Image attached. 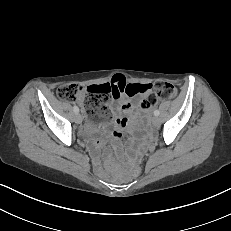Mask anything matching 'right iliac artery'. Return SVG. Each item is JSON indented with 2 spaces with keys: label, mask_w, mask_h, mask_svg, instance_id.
<instances>
[{
  "label": "right iliac artery",
  "mask_w": 231,
  "mask_h": 231,
  "mask_svg": "<svg viewBox=\"0 0 231 231\" xmlns=\"http://www.w3.org/2000/svg\"><path fill=\"white\" fill-rule=\"evenodd\" d=\"M73 111H74L75 113H78V112H79V108H78L77 106H74V107H73Z\"/></svg>",
  "instance_id": "82829eb1"
}]
</instances>
